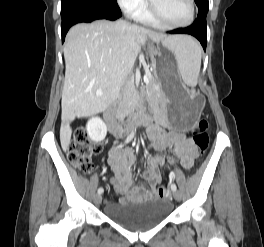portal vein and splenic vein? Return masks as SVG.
Listing matches in <instances>:
<instances>
[{
	"instance_id": "1",
	"label": "portal vein and splenic vein",
	"mask_w": 264,
	"mask_h": 247,
	"mask_svg": "<svg viewBox=\"0 0 264 247\" xmlns=\"http://www.w3.org/2000/svg\"><path fill=\"white\" fill-rule=\"evenodd\" d=\"M143 80H144L145 83H148V82H149V78H148V76L145 75V76L143 77ZM96 95H97V96H102V93H101V92H97Z\"/></svg>"
}]
</instances>
